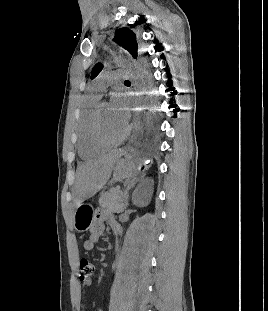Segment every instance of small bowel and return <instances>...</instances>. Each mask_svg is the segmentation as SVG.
Segmentation results:
<instances>
[{"mask_svg": "<svg viewBox=\"0 0 268 311\" xmlns=\"http://www.w3.org/2000/svg\"><path fill=\"white\" fill-rule=\"evenodd\" d=\"M106 224H109L116 235L122 234V230L116 220L108 213L101 212L97 215V219L92 228L90 236L83 242V247L85 250L91 251L94 249L95 244L99 241L105 230ZM91 283V278L81 279L82 287H89Z\"/></svg>", "mask_w": 268, "mask_h": 311, "instance_id": "obj_1", "label": "small bowel"}]
</instances>
